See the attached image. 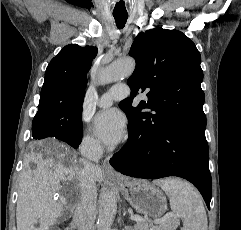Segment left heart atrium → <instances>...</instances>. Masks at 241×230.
Returning a JSON list of instances; mask_svg holds the SVG:
<instances>
[{"label": "left heart atrium", "mask_w": 241, "mask_h": 230, "mask_svg": "<svg viewBox=\"0 0 241 230\" xmlns=\"http://www.w3.org/2000/svg\"><path fill=\"white\" fill-rule=\"evenodd\" d=\"M126 121L117 109L99 112L93 122V132L107 146H115L125 136Z\"/></svg>", "instance_id": "39dd6f15"}]
</instances>
